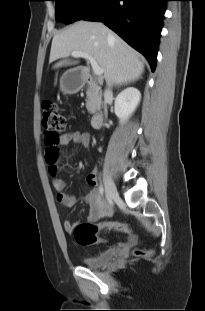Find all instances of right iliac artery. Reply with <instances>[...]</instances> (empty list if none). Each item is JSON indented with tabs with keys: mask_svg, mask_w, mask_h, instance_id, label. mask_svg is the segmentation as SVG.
Segmentation results:
<instances>
[{
	"mask_svg": "<svg viewBox=\"0 0 205 311\" xmlns=\"http://www.w3.org/2000/svg\"><path fill=\"white\" fill-rule=\"evenodd\" d=\"M99 194L101 197L104 195V187L102 184L99 186Z\"/></svg>",
	"mask_w": 205,
	"mask_h": 311,
	"instance_id": "right-iliac-artery-1",
	"label": "right iliac artery"
}]
</instances>
